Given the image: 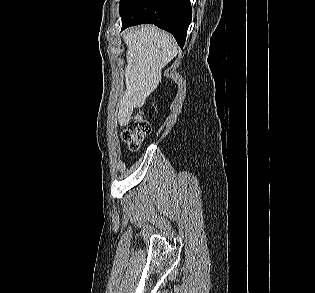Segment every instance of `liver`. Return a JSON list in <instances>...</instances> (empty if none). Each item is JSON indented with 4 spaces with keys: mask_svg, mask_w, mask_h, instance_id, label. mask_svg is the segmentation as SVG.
Returning <instances> with one entry per match:
<instances>
[{
    "mask_svg": "<svg viewBox=\"0 0 315 293\" xmlns=\"http://www.w3.org/2000/svg\"><path fill=\"white\" fill-rule=\"evenodd\" d=\"M127 65L126 90L118 103V122L125 126L134 108L144 105L162 79V69L176 56L178 45L169 34L155 26L144 25L125 31Z\"/></svg>",
    "mask_w": 315,
    "mask_h": 293,
    "instance_id": "6515ba94",
    "label": "liver"
}]
</instances>
